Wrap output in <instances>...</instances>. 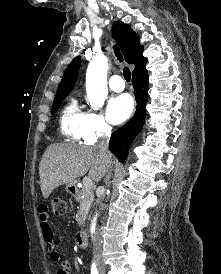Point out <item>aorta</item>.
<instances>
[{"mask_svg": "<svg viewBox=\"0 0 221 274\" xmlns=\"http://www.w3.org/2000/svg\"><path fill=\"white\" fill-rule=\"evenodd\" d=\"M108 60L92 59L86 73L87 100L91 107L98 109L106 98ZM91 232H95V219L92 222Z\"/></svg>", "mask_w": 221, "mask_h": 274, "instance_id": "aorta-1", "label": "aorta"}]
</instances>
